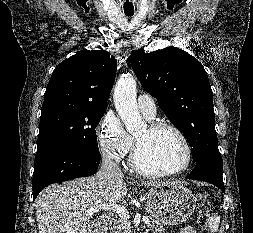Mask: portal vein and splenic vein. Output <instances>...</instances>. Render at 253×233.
<instances>
[{"instance_id": "1", "label": "portal vein and splenic vein", "mask_w": 253, "mask_h": 233, "mask_svg": "<svg viewBox=\"0 0 253 233\" xmlns=\"http://www.w3.org/2000/svg\"><path fill=\"white\" fill-rule=\"evenodd\" d=\"M101 210H112L116 212L123 220L128 221L130 219L128 210L124 206L118 204H100L94 206L86 211V215L92 216L94 213L99 212ZM142 221L147 225L150 224V220L148 217L143 216Z\"/></svg>"}]
</instances>
